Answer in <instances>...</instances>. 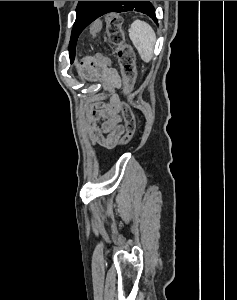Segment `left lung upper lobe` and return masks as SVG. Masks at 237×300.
Masks as SVG:
<instances>
[{
  "mask_svg": "<svg viewBox=\"0 0 237 300\" xmlns=\"http://www.w3.org/2000/svg\"><path fill=\"white\" fill-rule=\"evenodd\" d=\"M108 3L109 1H79L76 8L77 16L73 25L71 40L69 43V55L71 62H73L75 58L79 35L90 23L99 17L100 13ZM121 5L125 8L124 12L130 10L142 12L157 22L155 9L149 1H122Z\"/></svg>",
  "mask_w": 237,
  "mask_h": 300,
  "instance_id": "left-lung-upper-lobe-1",
  "label": "left lung upper lobe"
}]
</instances>
